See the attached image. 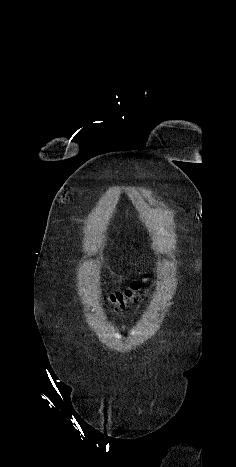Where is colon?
Segmentation results:
<instances>
[{
	"instance_id": "5ec220e1",
	"label": "colon",
	"mask_w": 236,
	"mask_h": 467,
	"mask_svg": "<svg viewBox=\"0 0 236 467\" xmlns=\"http://www.w3.org/2000/svg\"><path fill=\"white\" fill-rule=\"evenodd\" d=\"M140 287L141 284L139 281H133L127 288L111 293L108 299L116 309H122L126 303L136 299Z\"/></svg>"
}]
</instances>
